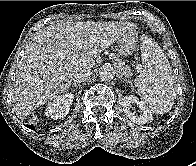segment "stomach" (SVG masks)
I'll return each mask as SVG.
<instances>
[{
    "instance_id": "obj_1",
    "label": "stomach",
    "mask_w": 196,
    "mask_h": 166,
    "mask_svg": "<svg viewBox=\"0 0 196 166\" xmlns=\"http://www.w3.org/2000/svg\"><path fill=\"white\" fill-rule=\"evenodd\" d=\"M137 33L129 32L118 40V51L120 54L131 55L136 50Z\"/></svg>"
}]
</instances>
